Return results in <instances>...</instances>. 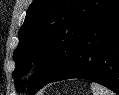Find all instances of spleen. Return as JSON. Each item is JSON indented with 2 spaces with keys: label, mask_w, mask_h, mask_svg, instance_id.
<instances>
[{
  "label": "spleen",
  "mask_w": 119,
  "mask_h": 95,
  "mask_svg": "<svg viewBox=\"0 0 119 95\" xmlns=\"http://www.w3.org/2000/svg\"><path fill=\"white\" fill-rule=\"evenodd\" d=\"M91 89L93 95H115V93L109 90L108 88L95 82L91 83Z\"/></svg>",
  "instance_id": "1"
}]
</instances>
